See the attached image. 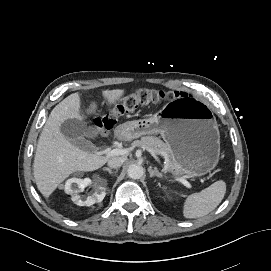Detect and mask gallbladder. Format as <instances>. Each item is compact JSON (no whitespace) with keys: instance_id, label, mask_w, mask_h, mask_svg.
I'll list each match as a JSON object with an SVG mask.
<instances>
[{"instance_id":"gallbladder-1","label":"gallbladder","mask_w":271,"mask_h":271,"mask_svg":"<svg viewBox=\"0 0 271 271\" xmlns=\"http://www.w3.org/2000/svg\"><path fill=\"white\" fill-rule=\"evenodd\" d=\"M59 128L62 135L76 147L85 151L94 150L92 143L84 138L85 135L91 136L93 134V127L87 128L81 120L71 118L61 122Z\"/></svg>"}]
</instances>
